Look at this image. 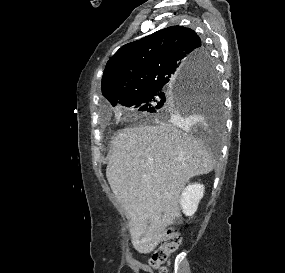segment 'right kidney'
Returning <instances> with one entry per match:
<instances>
[{"mask_svg": "<svg viewBox=\"0 0 285 273\" xmlns=\"http://www.w3.org/2000/svg\"><path fill=\"white\" fill-rule=\"evenodd\" d=\"M204 186L202 184H189L182 192L180 205L186 216H192L197 208L200 200L204 195Z\"/></svg>", "mask_w": 285, "mask_h": 273, "instance_id": "ca27d5eb", "label": "right kidney"}]
</instances>
